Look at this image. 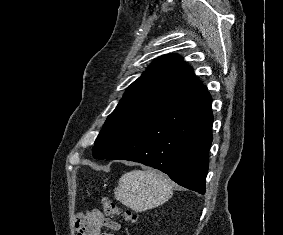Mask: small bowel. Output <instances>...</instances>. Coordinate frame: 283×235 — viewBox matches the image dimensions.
Returning <instances> with one entry per match:
<instances>
[{
	"label": "small bowel",
	"mask_w": 283,
	"mask_h": 235,
	"mask_svg": "<svg viewBox=\"0 0 283 235\" xmlns=\"http://www.w3.org/2000/svg\"><path fill=\"white\" fill-rule=\"evenodd\" d=\"M77 235H113L112 232L119 231V222L107 219L100 211L92 210L86 214H78L76 217ZM106 228L110 232L101 233Z\"/></svg>",
	"instance_id": "1"
}]
</instances>
